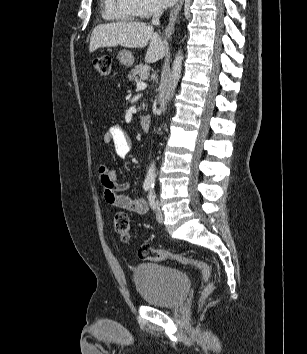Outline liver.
Instances as JSON below:
<instances>
[{
    "label": "liver",
    "instance_id": "6515ba94",
    "mask_svg": "<svg viewBox=\"0 0 307 354\" xmlns=\"http://www.w3.org/2000/svg\"><path fill=\"white\" fill-rule=\"evenodd\" d=\"M145 62L154 63L166 53V45L151 25L144 22H116L95 27L90 38L89 52L99 48L123 46L144 48L148 45Z\"/></svg>",
    "mask_w": 307,
    "mask_h": 354
}]
</instances>
